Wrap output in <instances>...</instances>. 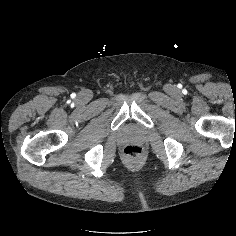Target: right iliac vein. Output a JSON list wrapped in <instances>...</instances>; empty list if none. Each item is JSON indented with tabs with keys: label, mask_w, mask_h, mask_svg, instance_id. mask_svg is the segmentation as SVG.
I'll return each instance as SVG.
<instances>
[{
	"label": "right iliac vein",
	"mask_w": 236,
	"mask_h": 236,
	"mask_svg": "<svg viewBox=\"0 0 236 236\" xmlns=\"http://www.w3.org/2000/svg\"><path fill=\"white\" fill-rule=\"evenodd\" d=\"M78 101L81 103H85L89 100V94L86 92L80 93L77 97Z\"/></svg>",
	"instance_id": "right-iliac-vein-1"
}]
</instances>
